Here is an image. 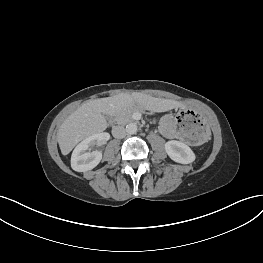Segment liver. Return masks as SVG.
Returning <instances> with one entry per match:
<instances>
[{
  "label": "liver",
  "instance_id": "6515ba94",
  "mask_svg": "<svg viewBox=\"0 0 263 263\" xmlns=\"http://www.w3.org/2000/svg\"><path fill=\"white\" fill-rule=\"evenodd\" d=\"M135 104L154 112H165L182 106L181 102L175 100L155 98L137 92L87 101L61 124L57 133L61 153L69 154L83 139L106 130L108 124L105 115L115 116Z\"/></svg>",
  "mask_w": 263,
  "mask_h": 263
}]
</instances>
